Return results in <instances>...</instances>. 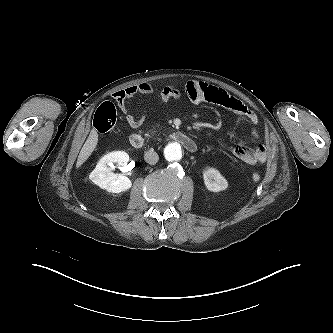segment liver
Segmentation results:
<instances>
[{"instance_id":"liver-1","label":"liver","mask_w":333,"mask_h":333,"mask_svg":"<svg viewBox=\"0 0 333 333\" xmlns=\"http://www.w3.org/2000/svg\"><path fill=\"white\" fill-rule=\"evenodd\" d=\"M98 143V133L95 129H92L86 142L84 143L76 163V167L79 168L92 154Z\"/></svg>"}]
</instances>
